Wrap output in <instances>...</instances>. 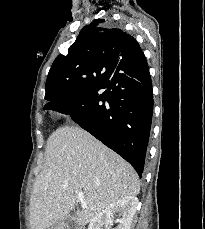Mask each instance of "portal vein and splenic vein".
I'll return each instance as SVG.
<instances>
[{
    "label": "portal vein and splenic vein",
    "mask_w": 205,
    "mask_h": 229,
    "mask_svg": "<svg viewBox=\"0 0 205 229\" xmlns=\"http://www.w3.org/2000/svg\"><path fill=\"white\" fill-rule=\"evenodd\" d=\"M76 197H77L78 201H80L81 203L84 202V193L83 192H78L76 194Z\"/></svg>",
    "instance_id": "portal-vein-and-splenic-vein-1"
}]
</instances>
